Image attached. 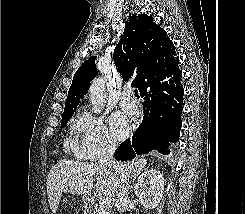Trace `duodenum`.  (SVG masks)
Masks as SVG:
<instances>
[{"label": "duodenum", "instance_id": "410a0bca", "mask_svg": "<svg viewBox=\"0 0 245 214\" xmlns=\"http://www.w3.org/2000/svg\"><path fill=\"white\" fill-rule=\"evenodd\" d=\"M85 204H86V208L89 212L93 211L94 203L91 200H86Z\"/></svg>", "mask_w": 245, "mask_h": 214}]
</instances>
